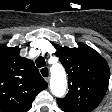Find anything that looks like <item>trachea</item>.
Here are the masks:
<instances>
[{"instance_id":"1","label":"trachea","mask_w":112,"mask_h":112,"mask_svg":"<svg viewBox=\"0 0 112 112\" xmlns=\"http://www.w3.org/2000/svg\"><path fill=\"white\" fill-rule=\"evenodd\" d=\"M35 62H36L37 67H44L45 66V59L42 56L37 57Z\"/></svg>"}]
</instances>
